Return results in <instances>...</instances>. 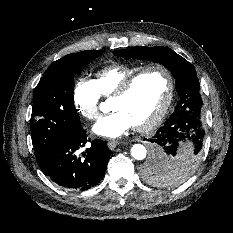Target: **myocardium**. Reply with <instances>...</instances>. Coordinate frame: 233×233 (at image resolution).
Instances as JSON below:
<instances>
[{"label":"myocardium","instance_id":"myocardium-1","mask_svg":"<svg viewBox=\"0 0 233 233\" xmlns=\"http://www.w3.org/2000/svg\"><path fill=\"white\" fill-rule=\"evenodd\" d=\"M150 70H160L165 74L166 79H167V91H166L164 102L162 106L160 107V109L157 111V113L146 123L134 126V130L138 132H148L152 130L162 121V119L168 112L169 107L172 103L173 95H174V80H173L171 72L165 66L161 64H150V65L143 66L138 71H136L135 73L130 75L128 78H126L111 97V99L124 97L129 92V90L131 89L135 81L142 74Z\"/></svg>","mask_w":233,"mask_h":233}]
</instances>
